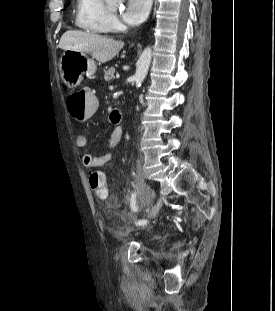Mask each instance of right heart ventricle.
<instances>
[{
    "label": "right heart ventricle",
    "mask_w": 275,
    "mask_h": 311,
    "mask_svg": "<svg viewBox=\"0 0 275 311\" xmlns=\"http://www.w3.org/2000/svg\"><path fill=\"white\" fill-rule=\"evenodd\" d=\"M110 16L105 0H76L74 23L86 33L95 35L108 33Z\"/></svg>",
    "instance_id": "obj_1"
}]
</instances>
